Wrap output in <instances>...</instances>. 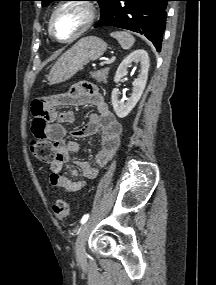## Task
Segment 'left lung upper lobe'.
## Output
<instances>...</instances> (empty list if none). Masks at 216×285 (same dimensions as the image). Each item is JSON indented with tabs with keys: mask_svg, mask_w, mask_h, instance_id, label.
I'll list each match as a JSON object with an SVG mask.
<instances>
[{
	"mask_svg": "<svg viewBox=\"0 0 216 285\" xmlns=\"http://www.w3.org/2000/svg\"><path fill=\"white\" fill-rule=\"evenodd\" d=\"M40 1H42V6H46L50 2L57 1V0H40ZM93 1H97L99 3L100 8H101V17H103L111 8L114 0H93Z\"/></svg>",
	"mask_w": 216,
	"mask_h": 285,
	"instance_id": "5c2ea615",
	"label": "left lung upper lobe"
}]
</instances>
